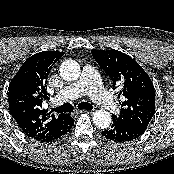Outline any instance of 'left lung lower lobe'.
<instances>
[{"mask_svg":"<svg viewBox=\"0 0 174 174\" xmlns=\"http://www.w3.org/2000/svg\"><path fill=\"white\" fill-rule=\"evenodd\" d=\"M144 132L145 130L142 128L113 118V124L110 128L102 131V135L104 138L114 142H126L140 137Z\"/></svg>","mask_w":174,"mask_h":174,"instance_id":"obj_1","label":"left lung lower lobe"}]
</instances>
